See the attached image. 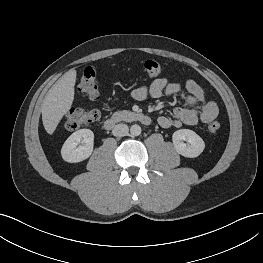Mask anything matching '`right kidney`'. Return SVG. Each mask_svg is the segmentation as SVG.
Segmentation results:
<instances>
[{"label": "right kidney", "instance_id": "1", "mask_svg": "<svg viewBox=\"0 0 263 263\" xmlns=\"http://www.w3.org/2000/svg\"><path fill=\"white\" fill-rule=\"evenodd\" d=\"M80 142L83 145H79ZM93 146V132L89 129H80L70 135L65 141L61 149V155L65 161L77 163L87 159L92 154Z\"/></svg>", "mask_w": 263, "mask_h": 263}]
</instances>
